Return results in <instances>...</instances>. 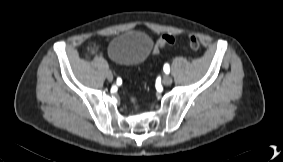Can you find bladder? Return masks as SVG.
<instances>
[{
	"mask_svg": "<svg viewBox=\"0 0 283 162\" xmlns=\"http://www.w3.org/2000/svg\"><path fill=\"white\" fill-rule=\"evenodd\" d=\"M150 36L140 31H126L117 35L108 46L110 57L121 64L135 65L143 62L151 53Z\"/></svg>",
	"mask_w": 283,
	"mask_h": 162,
	"instance_id": "bladder-1",
	"label": "bladder"
}]
</instances>
